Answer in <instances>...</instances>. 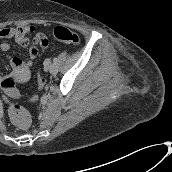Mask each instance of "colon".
<instances>
[{"mask_svg": "<svg viewBox=\"0 0 172 172\" xmlns=\"http://www.w3.org/2000/svg\"><path fill=\"white\" fill-rule=\"evenodd\" d=\"M53 36L67 44L78 45L80 43V37L75 32L69 30L64 26H57L53 30ZM46 78L39 74L37 78V84L39 90H42L46 84ZM0 88L7 99H17L20 97V92L15 87V81L12 77H4L0 82ZM37 96L34 97L36 99ZM9 115L13 122L22 129H27L30 125V117L28 113L17 104H10Z\"/></svg>", "mask_w": 172, "mask_h": 172, "instance_id": "colon-1", "label": "colon"}]
</instances>
